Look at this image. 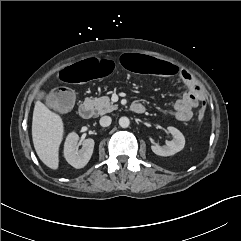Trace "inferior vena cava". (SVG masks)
<instances>
[{
  "label": "inferior vena cava",
  "instance_id": "inferior-vena-cava-1",
  "mask_svg": "<svg viewBox=\"0 0 241 241\" xmlns=\"http://www.w3.org/2000/svg\"><path fill=\"white\" fill-rule=\"evenodd\" d=\"M99 122H100V125L102 127H107V126H109L111 124L112 119H111L110 116H103V117L100 118Z\"/></svg>",
  "mask_w": 241,
  "mask_h": 241
}]
</instances>
